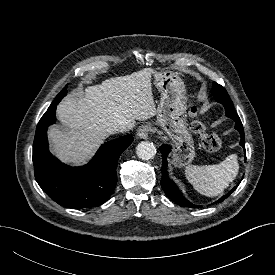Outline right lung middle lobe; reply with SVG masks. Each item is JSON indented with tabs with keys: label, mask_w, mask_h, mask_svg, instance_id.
Segmentation results:
<instances>
[{
	"label": "right lung middle lobe",
	"mask_w": 275,
	"mask_h": 275,
	"mask_svg": "<svg viewBox=\"0 0 275 275\" xmlns=\"http://www.w3.org/2000/svg\"><path fill=\"white\" fill-rule=\"evenodd\" d=\"M67 93V86L56 96L54 100H61Z\"/></svg>",
	"instance_id": "right-lung-middle-lobe-1"
}]
</instances>
